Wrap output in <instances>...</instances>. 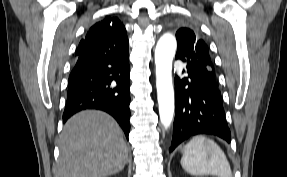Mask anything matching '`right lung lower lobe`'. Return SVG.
<instances>
[{
    "label": "right lung lower lobe",
    "instance_id": "98d812e1",
    "mask_svg": "<svg viewBox=\"0 0 287 177\" xmlns=\"http://www.w3.org/2000/svg\"><path fill=\"white\" fill-rule=\"evenodd\" d=\"M86 51L77 58L68 80L63 122L85 109L112 115L126 137L130 132V70L126 33L86 36Z\"/></svg>",
    "mask_w": 287,
    "mask_h": 177
}]
</instances>
